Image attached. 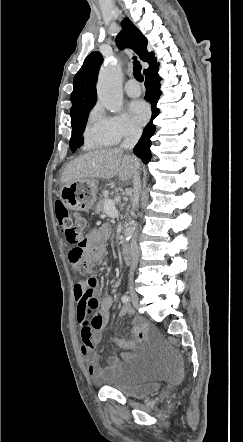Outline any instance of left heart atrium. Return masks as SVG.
<instances>
[{"label": "left heart atrium", "mask_w": 243, "mask_h": 442, "mask_svg": "<svg viewBox=\"0 0 243 442\" xmlns=\"http://www.w3.org/2000/svg\"><path fill=\"white\" fill-rule=\"evenodd\" d=\"M130 113L136 123L144 124L149 118L150 109L144 101L136 100L130 104Z\"/></svg>", "instance_id": "39dd6f15"}]
</instances>
